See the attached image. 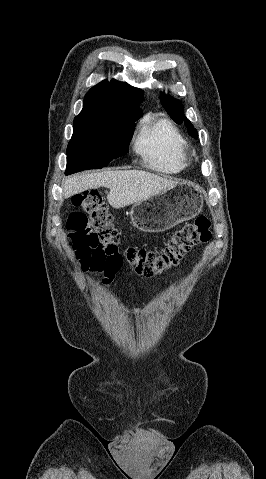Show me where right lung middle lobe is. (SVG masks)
Returning a JSON list of instances; mask_svg holds the SVG:
<instances>
[{
  "mask_svg": "<svg viewBox=\"0 0 266 479\" xmlns=\"http://www.w3.org/2000/svg\"><path fill=\"white\" fill-rule=\"evenodd\" d=\"M135 121L74 119V132L67 147L66 175L102 168L123 156L133 136Z\"/></svg>",
  "mask_w": 266,
  "mask_h": 479,
  "instance_id": "obj_1",
  "label": "right lung middle lobe"
}]
</instances>
